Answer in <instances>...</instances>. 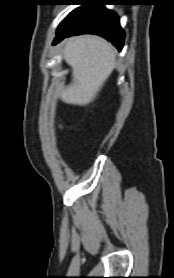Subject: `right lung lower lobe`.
Wrapping results in <instances>:
<instances>
[{
    "label": "right lung lower lobe",
    "instance_id": "right-lung-lower-lobe-1",
    "mask_svg": "<svg viewBox=\"0 0 174 278\" xmlns=\"http://www.w3.org/2000/svg\"><path fill=\"white\" fill-rule=\"evenodd\" d=\"M81 5L59 25L54 44L65 37L91 33L106 38L120 51L125 35L120 27L118 16L104 7L106 1L88 0Z\"/></svg>",
    "mask_w": 174,
    "mask_h": 278
}]
</instances>
